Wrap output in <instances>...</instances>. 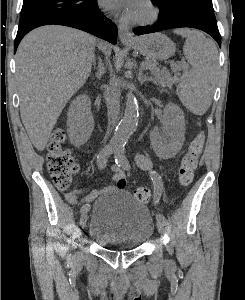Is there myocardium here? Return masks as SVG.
<instances>
[{"label": "myocardium", "instance_id": "f54148a6", "mask_svg": "<svg viewBox=\"0 0 245 300\" xmlns=\"http://www.w3.org/2000/svg\"><path fill=\"white\" fill-rule=\"evenodd\" d=\"M146 8L148 9V14L142 18H129L128 20L135 25H148L155 22L159 16V10L152 0H142Z\"/></svg>", "mask_w": 245, "mask_h": 300}]
</instances>
